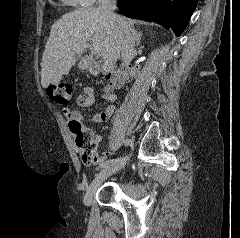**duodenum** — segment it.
<instances>
[{"label": "duodenum", "instance_id": "obj_1", "mask_svg": "<svg viewBox=\"0 0 240 238\" xmlns=\"http://www.w3.org/2000/svg\"><path fill=\"white\" fill-rule=\"evenodd\" d=\"M85 65H86V69L89 71V73H91L93 75L98 74L100 71L99 63L93 58H87L85 60Z\"/></svg>", "mask_w": 240, "mask_h": 238}]
</instances>
